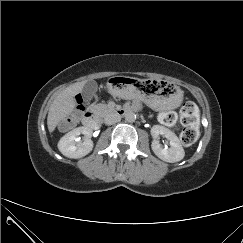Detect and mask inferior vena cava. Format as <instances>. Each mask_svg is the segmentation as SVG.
Returning <instances> with one entry per match:
<instances>
[{"label":"inferior vena cava","mask_w":243,"mask_h":243,"mask_svg":"<svg viewBox=\"0 0 243 243\" xmlns=\"http://www.w3.org/2000/svg\"><path fill=\"white\" fill-rule=\"evenodd\" d=\"M121 120V117L116 113H109L104 117V123L106 125H112Z\"/></svg>","instance_id":"1"}]
</instances>
